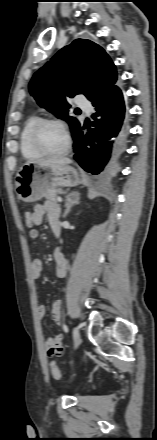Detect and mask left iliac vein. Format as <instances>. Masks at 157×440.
I'll list each match as a JSON object with an SVG mask.
<instances>
[{"instance_id": "1", "label": "left iliac vein", "mask_w": 157, "mask_h": 440, "mask_svg": "<svg viewBox=\"0 0 157 440\" xmlns=\"http://www.w3.org/2000/svg\"><path fill=\"white\" fill-rule=\"evenodd\" d=\"M73 339L74 347L77 348L81 344V337L79 331L76 328L73 329Z\"/></svg>"}]
</instances>
